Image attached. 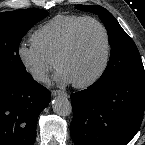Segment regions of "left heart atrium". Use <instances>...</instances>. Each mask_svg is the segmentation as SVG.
<instances>
[{
	"label": "left heart atrium",
	"mask_w": 145,
	"mask_h": 145,
	"mask_svg": "<svg viewBox=\"0 0 145 145\" xmlns=\"http://www.w3.org/2000/svg\"><path fill=\"white\" fill-rule=\"evenodd\" d=\"M55 80L57 83L62 84V85L71 83L69 78L60 70L57 72V74L55 76Z\"/></svg>",
	"instance_id": "obj_1"
}]
</instances>
